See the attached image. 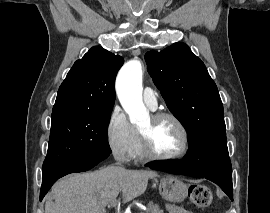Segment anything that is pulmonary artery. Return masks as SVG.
<instances>
[{
    "instance_id": "pulmonary-artery-1",
    "label": "pulmonary artery",
    "mask_w": 270,
    "mask_h": 213,
    "mask_svg": "<svg viewBox=\"0 0 270 213\" xmlns=\"http://www.w3.org/2000/svg\"><path fill=\"white\" fill-rule=\"evenodd\" d=\"M143 100L145 104L151 109H155L157 106V94L156 92L150 88L146 87L143 92Z\"/></svg>"
}]
</instances>
